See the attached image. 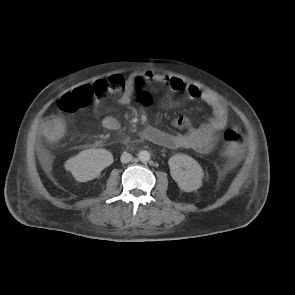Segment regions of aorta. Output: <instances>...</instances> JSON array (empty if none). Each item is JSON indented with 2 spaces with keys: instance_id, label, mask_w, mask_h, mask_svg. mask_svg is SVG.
Listing matches in <instances>:
<instances>
[{
  "instance_id": "762f6f07",
  "label": "aorta",
  "mask_w": 295,
  "mask_h": 295,
  "mask_svg": "<svg viewBox=\"0 0 295 295\" xmlns=\"http://www.w3.org/2000/svg\"><path fill=\"white\" fill-rule=\"evenodd\" d=\"M138 159L141 162H147L150 160V153L146 150H142L138 153Z\"/></svg>"
}]
</instances>
